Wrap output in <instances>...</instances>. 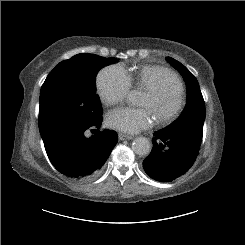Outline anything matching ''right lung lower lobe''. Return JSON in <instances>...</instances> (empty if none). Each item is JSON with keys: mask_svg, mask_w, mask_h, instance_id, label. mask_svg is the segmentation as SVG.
<instances>
[{"mask_svg": "<svg viewBox=\"0 0 245 245\" xmlns=\"http://www.w3.org/2000/svg\"><path fill=\"white\" fill-rule=\"evenodd\" d=\"M101 123L100 118L90 126L61 129L43 139L47 155L60 173L88 180L100 172L118 141L117 134L108 130L86 137V130L100 128Z\"/></svg>", "mask_w": 245, "mask_h": 245, "instance_id": "98d812e1", "label": "right lung lower lobe"}]
</instances>
